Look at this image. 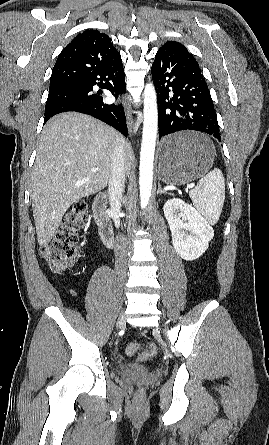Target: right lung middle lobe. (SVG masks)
I'll return each mask as SVG.
<instances>
[{
    "label": "right lung middle lobe",
    "mask_w": 269,
    "mask_h": 445,
    "mask_svg": "<svg viewBox=\"0 0 269 445\" xmlns=\"http://www.w3.org/2000/svg\"><path fill=\"white\" fill-rule=\"evenodd\" d=\"M80 89V85H65L58 86L49 89L47 102L45 105V113H47L52 107L70 99Z\"/></svg>",
    "instance_id": "1"
}]
</instances>
